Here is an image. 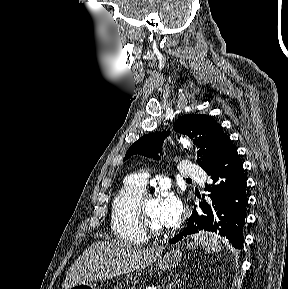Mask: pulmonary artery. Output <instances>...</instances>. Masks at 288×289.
Returning a JSON list of instances; mask_svg holds the SVG:
<instances>
[{
  "instance_id": "pulmonary-artery-1",
  "label": "pulmonary artery",
  "mask_w": 288,
  "mask_h": 289,
  "mask_svg": "<svg viewBox=\"0 0 288 289\" xmlns=\"http://www.w3.org/2000/svg\"><path fill=\"white\" fill-rule=\"evenodd\" d=\"M180 175L191 179L198 180L203 183L206 180V175L203 170L197 168L193 163L189 161H182L179 165ZM148 174L146 172H138L131 175L128 179L137 185L145 188Z\"/></svg>"
}]
</instances>
